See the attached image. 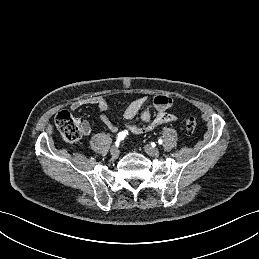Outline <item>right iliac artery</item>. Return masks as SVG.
<instances>
[{
  "label": "right iliac artery",
  "mask_w": 259,
  "mask_h": 259,
  "mask_svg": "<svg viewBox=\"0 0 259 259\" xmlns=\"http://www.w3.org/2000/svg\"><path fill=\"white\" fill-rule=\"evenodd\" d=\"M127 134H128V131H122V132H120V133L118 134V136H117V142H116V145H117V146L119 145V142H120L121 140H123V139L126 137Z\"/></svg>",
  "instance_id": "obj_1"
}]
</instances>
